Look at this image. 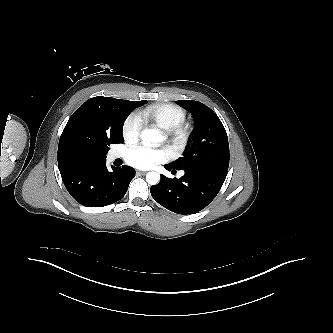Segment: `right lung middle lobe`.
Wrapping results in <instances>:
<instances>
[{"label": "right lung middle lobe", "mask_w": 333, "mask_h": 333, "mask_svg": "<svg viewBox=\"0 0 333 333\" xmlns=\"http://www.w3.org/2000/svg\"><path fill=\"white\" fill-rule=\"evenodd\" d=\"M147 101H128L117 99L112 109V126L106 131L103 130L95 135L92 140L89 156L106 159L111 144L123 143V124L129 114L137 107Z\"/></svg>", "instance_id": "1"}]
</instances>
